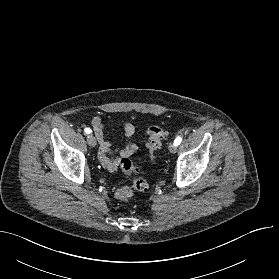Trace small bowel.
<instances>
[{
  "label": "small bowel",
  "mask_w": 279,
  "mask_h": 279,
  "mask_svg": "<svg viewBox=\"0 0 279 279\" xmlns=\"http://www.w3.org/2000/svg\"><path fill=\"white\" fill-rule=\"evenodd\" d=\"M91 125L99 142V160L108 171H116L120 166L121 158L129 157L137 151V145L134 143H126L121 149L113 150L106 139L104 124L99 115L92 118ZM122 130L127 138L132 137L135 133L134 125L128 121L122 123Z\"/></svg>",
  "instance_id": "small-bowel-1"
}]
</instances>
